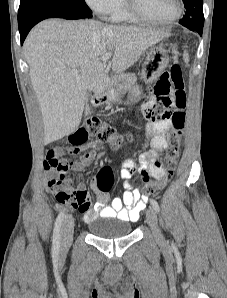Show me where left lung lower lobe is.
<instances>
[{
    "mask_svg": "<svg viewBox=\"0 0 227 298\" xmlns=\"http://www.w3.org/2000/svg\"><path fill=\"white\" fill-rule=\"evenodd\" d=\"M192 31L198 32L200 35H202V30L203 29H190Z\"/></svg>",
    "mask_w": 227,
    "mask_h": 298,
    "instance_id": "obj_1",
    "label": "left lung lower lobe"
}]
</instances>
